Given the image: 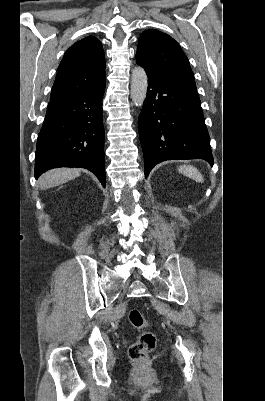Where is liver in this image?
<instances>
[{
    "mask_svg": "<svg viewBox=\"0 0 265 401\" xmlns=\"http://www.w3.org/2000/svg\"><path fill=\"white\" fill-rule=\"evenodd\" d=\"M81 168H54V170H48L45 174H42L39 178L40 188H52V186H59L63 182H68L76 176H80Z\"/></svg>",
    "mask_w": 265,
    "mask_h": 401,
    "instance_id": "1",
    "label": "liver"
}]
</instances>
